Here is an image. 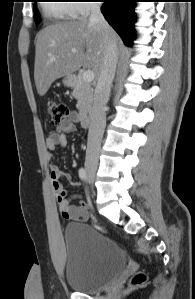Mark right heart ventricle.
I'll return each mask as SVG.
<instances>
[{
    "label": "right heart ventricle",
    "mask_w": 195,
    "mask_h": 299,
    "mask_svg": "<svg viewBox=\"0 0 195 299\" xmlns=\"http://www.w3.org/2000/svg\"><path fill=\"white\" fill-rule=\"evenodd\" d=\"M45 5V14L53 21H64L74 16L73 4L67 2L53 1Z\"/></svg>",
    "instance_id": "right-heart-ventricle-1"
}]
</instances>
